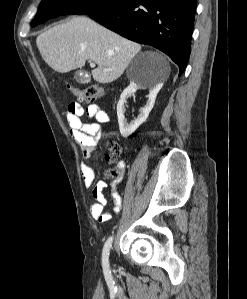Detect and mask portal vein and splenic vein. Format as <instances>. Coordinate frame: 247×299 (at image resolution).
Returning <instances> with one entry per match:
<instances>
[{
  "mask_svg": "<svg viewBox=\"0 0 247 299\" xmlns=\"http://www.w3.org/2000/svg\"><path fill=\"white\" fill-rule=\"evenodd\" d=\"M90 66H91V67H95V63L92 62V61H90Z\"/></svg>",
  "mask_w": 247,
  "mask_h": 299,
  "instance_id": "1",
  "label": "portal vein and splenic vein"
}]
</instances>
